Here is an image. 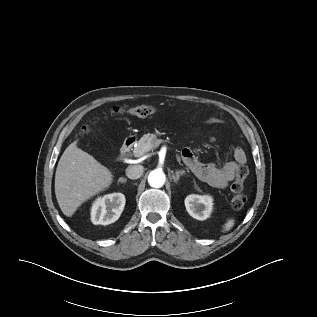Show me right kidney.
Masks as SVG:
<instances>
[{"label": "right kidney", "mask_w": 317, "mask_h": 317, "mask_svg": "<svg viewBox=\"0 0 317 317\" xmlns=\"http://www.w3.org/2000/svg\"><path fill=\"white\" fill-rule=\"evenodd\" d=\"M125 196L122 193H112L98 198L91 207L93 224L108 225L119 219L124 206Z\"/></svg>", "instance_id": "right-kidney-1"}]
</instances>
